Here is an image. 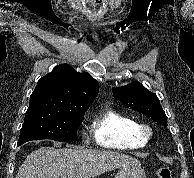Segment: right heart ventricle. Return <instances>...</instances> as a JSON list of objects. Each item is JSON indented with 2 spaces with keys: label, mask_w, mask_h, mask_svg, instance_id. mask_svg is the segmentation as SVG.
<instances>
[{
  "label": "right heart ventricle",
  "mask_w": 194,
  "mask_h": 178,
  "mask_svg": "<svg viewBox=\"0 0 194 178\" xmlns=\"http://www.w3.org/2000/svg\"><path fill=\"white\" fill-rule=\"evenodd\" d=\"M136 125L132 117L107 108L93 119L91 131L95 142L103 148L135 150L146 144L137 136Z\"/></svg>",
  "instance_id": "obj_1"
}]
</instances>
